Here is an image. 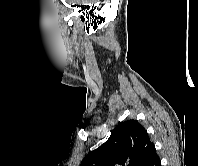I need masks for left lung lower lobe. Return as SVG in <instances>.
<instances>
[{"mask_svg": "<svg viewBox=\"0 0 198 166\" xmlns=\"http://www.w3.org/2000/svg\"><path fill=\"white\" fill-rule=\"evenodd\" d=\"M148 166H161V161L157 153L153 156Z\"/></svg>", "mask_w": 198, "mask_h": 166, "instance_id": "obj_1", "label": "left lung lower lobe"}]
</instances>
